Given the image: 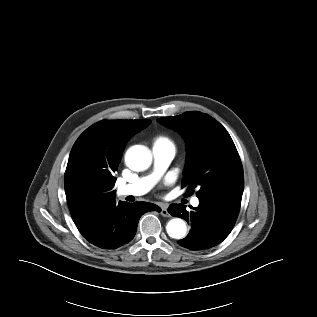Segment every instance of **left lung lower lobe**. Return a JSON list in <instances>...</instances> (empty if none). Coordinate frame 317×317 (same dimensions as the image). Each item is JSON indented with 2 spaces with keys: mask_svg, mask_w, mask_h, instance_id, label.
I'll use <instances>...</instances> for the list:
<instances>
[{
  "mask_svg": "<svg viewBox=\"0 0 317 317\" xmlns=\"http://www.w3.org/2000/svg\"><path fill=\"white\" fill-rule=\"evenodd\" d=\"M242 194H212L199 197V206L188 212L182 204H172L168 212L191 224V232L179 240V245L190 250H204L222 242L236 222Z\"/></svg>",
  "mask_w": 317,
  "mask_h": 317,
  "instance_id": "left-lung-lower-lobe-1",
  "label": "left lung lower lobe"
}]
</instances>
